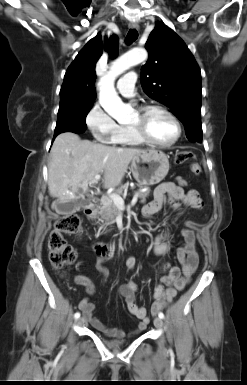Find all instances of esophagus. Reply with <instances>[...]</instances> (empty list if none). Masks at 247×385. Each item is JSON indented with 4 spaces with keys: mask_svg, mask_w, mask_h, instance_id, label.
<instances>
[{
    "mask_svg": "<svg viewBox=\"0 0 247 385\" xmlns=\"http://www.w3.org/2000/svg\"><path fill=\"white\" fill-rule=\"evenodd\" d=\"M129 28L130 29L138 30L139 29V25L137 23L132 22V23L129 24Z\"/></svg>",
    "mask_w": 247,
    "mask_h": 385,
    "instance_id": "esophagus-1",
    "label": "esophagus"
}]
</instances>
